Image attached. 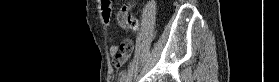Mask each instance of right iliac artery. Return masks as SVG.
I'll use <instances>...</instances> for the list:
<instances>
[{
    "label": "right iliac artery",
    "instance_id": "right-iliac-artery-1",
    "mask_svg": "<svg viewBox=\"0 0 279 82\" xmlns=\"http://www.w3.org/2000/svg\"><path fill=\"white\" fill-rule=\"evenodd\" d=\"M125 79V71L122 72V77L120 78V82H124Z\"/></svg>",
    "mask_w": 279,
    "mask_h": 82
}]
</instances>
